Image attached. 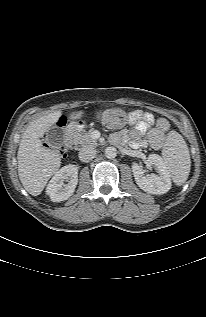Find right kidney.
Returning <instances> with one entry per match:
<instances>
[{"mask_svg": "<svg viewBox=\"0 0 206 317\" xmlns=\"http://www.w3.org/2000/svg\"><path fill=\"white\" fill-rule=\"evenodd\" d=\"M64 181L67 183L65 184ZM77 183L78 168L69 164L55 173L47 186L46 192L51 201L61 202L67 200L74 193Z\"/></svg>", "mask_w": 206, "mask_h": 317, "instance_id": "obj_1", "label": "right kidney"}]
</instances>
